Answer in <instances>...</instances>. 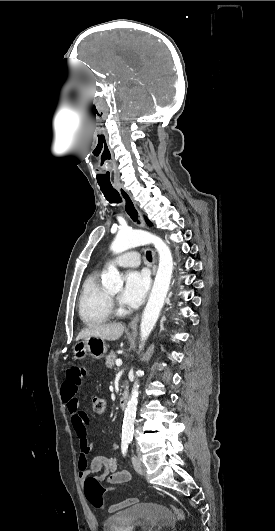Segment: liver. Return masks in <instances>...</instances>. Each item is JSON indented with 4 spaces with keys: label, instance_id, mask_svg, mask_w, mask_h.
<instances>
[{
    "label": "liver",
    "instance_id": "1",
    "mask_svg": "<svg viewBox=\"0 0 275 531\" xmlns=\"http://www.w3.org/2000/svg\"><path fill=\"white\" fill-rule=\"evenodd\" d=\"M125 331L124 325L122 323H108V325H103V323H94V325H88L87 329H82L76 341L80 339H88V337H100V339H106V341H117L122 337Z\"/></svg>",
    "mask_w": 275,
    "mask_h": 531
}]
</instances>
